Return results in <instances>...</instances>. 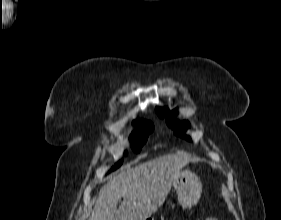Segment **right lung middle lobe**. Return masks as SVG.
Returning a JSON list of instances; mask_svg holds the SVG:
<instances>
[{"mask_svg": "<svg viewBox=\"0 0 281 220\" xmlns=\"http://www.w3.org/2000/svg\"><path fill=\"white\" fill-rule=\"evenodd\" d=\"M136 130L131 134L130 140H131V146L135 152H139L141 150L142 145L147 141L148 135L150 132L153 131L154 126L152 123H142V122H136L135 123ZM123 163V160H120L117 162L113 167L112 170L117 169L121 164Z\"/></svg>", "mask_w": 281, "mask_h": 220, "instance_id": "dd1d6c3e", "label": "right lung middle lobe"}]
</instances>
